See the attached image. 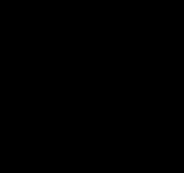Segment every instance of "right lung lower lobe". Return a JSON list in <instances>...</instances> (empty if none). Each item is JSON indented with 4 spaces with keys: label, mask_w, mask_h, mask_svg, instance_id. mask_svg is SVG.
Segmentation results:
<instances>
[{
    "label": "right lung lower lobe",
    "mask_w": 184,
    "mask_h": 173,
    "mask_svg": "<svg viewBox=\"0 0 184 173\" xmlns=\"http://www.w3.org/2000/svg\"><path fill=\"white\" fill-rule=\"evenodd\" d=\"M80 120L66 117L57 122L17 132L23 149L34 159L57 164L65 161L73 151Z\"/></svg>",
    "instance_id": "98d812e1"
}]
</instances>
